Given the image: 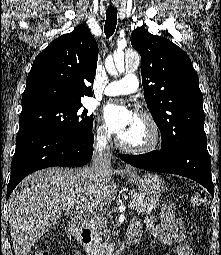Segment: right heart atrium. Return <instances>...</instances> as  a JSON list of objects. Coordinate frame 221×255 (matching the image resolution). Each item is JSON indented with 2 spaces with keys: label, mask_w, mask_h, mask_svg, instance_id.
<instances>
[{
  "label": "right heart atrium",
  "mask_w": 221,
  "mask_h": 255,
  "mask_svg": "<svg viewBox=\"0 0 221 255\" xmlns=\"http://www.w3.org/2000/svg\"><path fill=\"white\" fill-rule=\"evenodd\" d=\"M95 142L100 147H104L108 143V133L103 125H98L96 128Z\"/></svg>",
  "instance_id": "obj_1"
}]
</instances>
